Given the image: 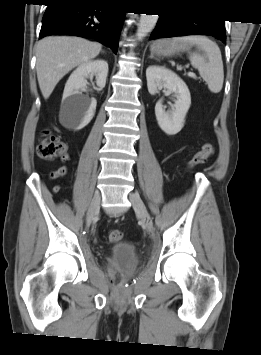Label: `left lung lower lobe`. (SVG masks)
<instances>
[{"mask_svg":"<svg viewBox=\"0 0 261 355\" xmlns=\"http://www.w3.org/2000/svg\"><path fill=\"white\" fill-rule=\"evenodd\" d=\"M224 20L160 15L150 39L183 35H208L226 43Z\"/></svg>","mask_w":261,"mask_h":355,"instance_id":"1","label":"left lung lower lobe"}]
</instances>
